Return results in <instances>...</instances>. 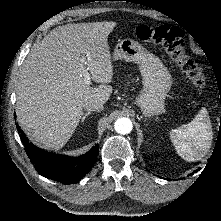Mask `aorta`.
Returning a JSON list of instances; mask_svg holds the SVG:
<instances>
[{"label": "aorta", "instance_id": "762f6f07", "mask_svg": "<svg viewBox=\"0 0 221 221\" xmlns=\"http://www.w3.org/2000/svg\"><path fill=\"white\" fill-rule=\"evenodd\" d=\"M114 127L117 133L124 135L132 131L133 125L129 118L122 117L116 120Z\"/></svg>", "mask_w": 221, "mask_h": 221}]
</instances>
